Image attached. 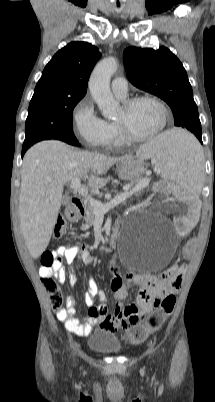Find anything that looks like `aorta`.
I'll use <instances>...</instances> for the list:
<instances>
[{"mask_svg": "<svg viewBox=\"0 0 215 402\" xmlns=\"http://www.w3.org/2000/svg\"><path fill=\"white\" fill-rule=\"evenodd\" d=\"M117 67L116 58L103 59L93 69L88 83L93 100L107 119L115 117L118 112V103L110 90V80Z\"/></svg>", "mask_w": 215, "mask_h": 402, "instance_id": "762f6f07", "label": "aorta"}]
</instances>
